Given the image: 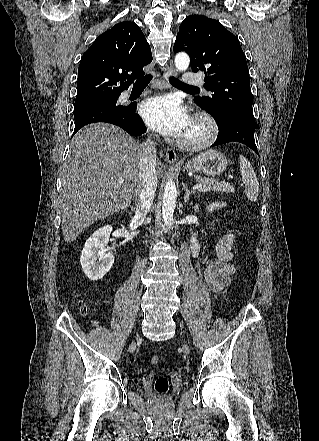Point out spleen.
Returning a JSON list of instances; mask_svg holds the SVG:
<instances>
[{
  "label": "spleen",
  "mask_w": 319,
  "mask_h": 441,
  "mask_svg": "<svg viewBox=\"0 0 319 441\" xmlns=\"http://www.w3.org/2000/svg\"><path fill=\"white\" fill-rule=\"evenodd\" d=\"M239 161L240 173L242 181L245 185V194L251 202H254L257 200L259 195V182L257 176L246 157L240 155Z\"/></svg>",
  "instance_id": "spleen-1"
}]
</instances>
